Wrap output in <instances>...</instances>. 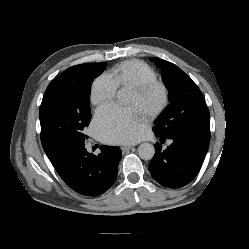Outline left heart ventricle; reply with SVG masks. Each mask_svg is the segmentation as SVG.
Returning <instances> with one entry per match:
<instances>
[{
	"mask_svg": "<svg viewBox=\"0 0 249 249\" xmlns=\"http://www.w3.org/2000/svg\"><path fill=\"white\" fill-rule=\"evenodd\" d=\"M161 99L162 93L159 88H152L141 97L131 91L128 107L135 109L140 116L145 117L160 104Z\"/></svg>",
	"mask_w": 249,
	"mask_h": 249,
	"instance_id": "left-heart-ventricle-1",
	"label": "left heart ventricle"
}]
</instances>
